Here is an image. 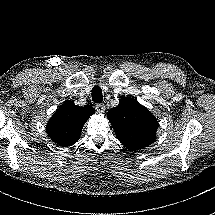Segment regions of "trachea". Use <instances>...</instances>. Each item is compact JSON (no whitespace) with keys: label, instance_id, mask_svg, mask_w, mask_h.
Wrapping results in <instances>:
<instances>
[{"label":"trachea","instance_id":"3493384b","mask_svg":"<svg viewBox=\"0 0 215 215\" xmlns=\"http://www.w3.org/2000/svg\"><path fill=\"white\" fill-rule=\"evenodd\" d=\"M92 99L96 103H101L103 101L102 90L99 86H95L92 89Z\"/></svg>","mask_w":215,"mask_h":215}]
</instances>
